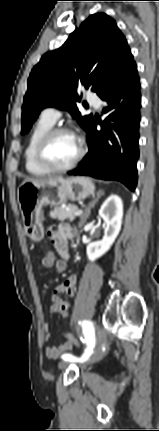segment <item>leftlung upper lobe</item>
Segmentation results:
<instances>
[{"instance_id": "1", "label": "left lung upper lobe", "mask_w": 159, "mask_h": 431, "mask_svg": "<svg viewBox=\"0 0 159 431\" xmlns=\"http://www.w3.org/2000/svg\"><path fill=\"white\" fill-rule=\"evenodd\" d=\"M134 62L115 21L104 13L91 15L56 50L44 54L32 69L24 96L22 134L46 107L67 110L86 131L93 116L81 117L76 102L79 85L100 97Z\"/></svg>"}]
</instances>
